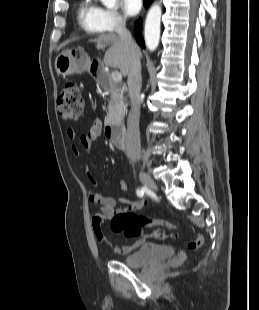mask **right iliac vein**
Listing matches in <instances>:
<instances>
[{"label":"right iliac vein","instance_id":"63e3f726","mask_svg":"<svg viewBox=\"0 0 259 310\" xmlns=\"http://www.w3.org/2000/svg\"><path fill=\"white\" fill-rule=\"evenodd\" d=\"M139 178L141 182L144 184V186L147 187L148 189H151L154 191L158 189L154 180L147 173L140 171Z\"/></svg>","mask_w":259,"mask_h":310}]
</instances>
